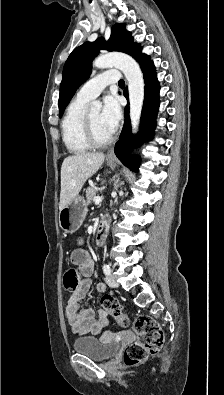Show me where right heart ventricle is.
I'll list each match as a JSON object with an SVG mask.
<instances>
[{
    "label": "right heart ventricle",
    "mask_w": 224,
    "mask_h": 395,
    "mask_svg": "<svg viewBox=\"0 0 224 395\" xmlns=\"http://www.w3.org/2000/svg\"><path fill=\"white\" fill-rule=\"evenodd\" d=\"M87 102L76 97L69 104L62 120L64 144L74 154L84 153L91 148V145L86 140L83 128Z\"/></svg>",
    "instance_id": "right-heart-ventricle-1"
}]
</instances>
